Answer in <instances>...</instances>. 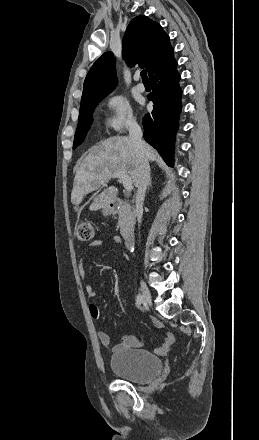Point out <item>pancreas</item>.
Returning a JSON list of instances; mask_svg holds the SVG:
<instances>
[{
    "label": "pancreas",
    "instance_id": "obj_1",
    "mask_svg": "<svg viewBox=\"0 0 259 440\" xmlns=\"http://www.w3.org/2000/svg\"><path fill=\"white\" fill-rule=\"evenodd\" d=\"M118 217L120 233L126 238L133 231L136 213L129 203L124 202L118 210Z\"/></svg>",
    "mask_w": 259,
    "mask_h": 440
}]
</instances>
